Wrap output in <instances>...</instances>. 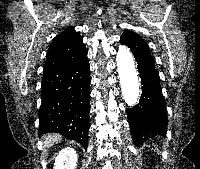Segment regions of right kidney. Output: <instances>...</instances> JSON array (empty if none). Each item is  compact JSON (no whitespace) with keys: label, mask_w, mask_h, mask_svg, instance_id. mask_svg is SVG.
Masks as SVG:
<instances>
[{"label":"right kidney","mask_w":200,"mask_h":169,"mask_svg":"<svg viewBox=\"0 0 200 169\" xmlns=\"http://www.w3.org/2000/svg\"><path fill=\"white\" fill-rule=\"evenodd\" d=\"M76 163V151L71 147H67L61 150L55 158L54 169H75Z\"/></svg>","instance_id":"1"}]
</instances>
